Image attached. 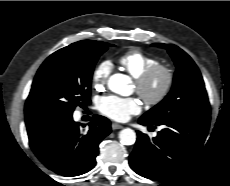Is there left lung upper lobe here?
<instances>
[{
  "instance_id": "5c2ea615",
  "label": "left lung upper lobe",
  "mask_w": 230,
  "mask_h": 186,
  "mask_svg": "<svg viewBox=\"0 0 230 186\" xmlns=\"http://www.w3.org/2000/svg\"><path fill=\"white\" fill-rule=\"evenodd\" d=\"M168 50L177 70L169 94L141 119L154 125L186 116H210V104L204 81L194 61L172 44H152Z\"/></svg>"
}]
</instances>
